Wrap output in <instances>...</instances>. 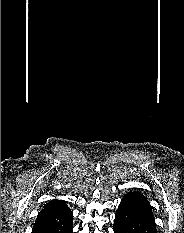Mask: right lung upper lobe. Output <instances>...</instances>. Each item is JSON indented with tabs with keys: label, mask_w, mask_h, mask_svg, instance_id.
Returning a JSON list of instances; mask_svg holds the SVG:
<instances>
[{
	"label": "right lung upper lobe",
	"mask_w": 184,
	"mask_h": 233,
	"mask_svg": "<svg viewBox=\"0 0 184 233\" xmlns=\"http://www.w3.org/2000/svg\"><path fill=\"white\" fill-rule=\"evenodd\" d=\"M65 202L64 201H59V200H51V201H49L47 204H46V206L43 208V209H45V208H49V207H51V206H54V205H58V204H64Z\"/></svg>",
	"instance_id": "right-lung-upper-lobe-1"
}]
</instances>
